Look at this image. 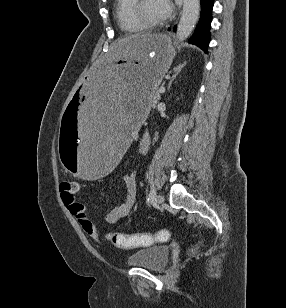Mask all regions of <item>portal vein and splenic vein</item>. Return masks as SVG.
Masks as SVG:
<instances>
[{
    "mask_svg": "<svg viewBox=\"0 0 286 308\" xmlns=\"http://www.w3.org/2000/svg\"><path fill=\"white\" fill-rule=\"evenodd\" d=\"M159 92H160V93H164V92H165V88H164V87H160V88H159Z\"/></svg>",
    "mask_w": 286,
    "mask_h": 308,
    "instance_id": "portal-vein-and-splenic-vein-1",
    "label": "portal vein and splenic vein"
}]
</instances>
